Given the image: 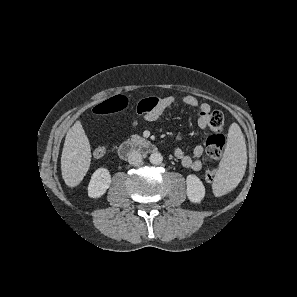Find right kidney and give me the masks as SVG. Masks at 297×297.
Returning <instances> with one entry per match:
<instances>
[{
  "label": "right kidney",
  "instance_id": "obj_1",
  "mask_svg": "<svg viewBox=\"0 0 297 297\" xmlns=\"http://www.w3.org/2000/svg\"><path fill=\"white\" fill-rule=\"evenodd\" d=\"M111 184V175L108 169L99 168L97 169L89 182L88 185V195L91 198L101 197Z\"/></svg>",
  "mask_w": 297,
  "mask_h": 297
}]
</instances>
